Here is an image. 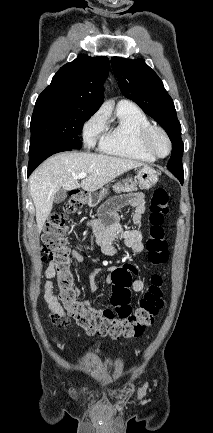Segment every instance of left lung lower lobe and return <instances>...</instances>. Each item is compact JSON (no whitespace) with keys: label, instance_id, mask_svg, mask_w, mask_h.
Here are the masks:
<instances>
[{"label":"left lung lower lobe","instance_id":"1","mask_svg":"<svg viewBox=\"0 0 213 433\" xmlns=\"http://www.w3.org/2000/svg\"><path fill=\"white\" fill-rule=\"evenodd\" d=\"M177 178L180 181V183L183 184L184 178H182V177H177Z\"/></svg>","mask_w":213,"mask_h":433}]
</instances>
